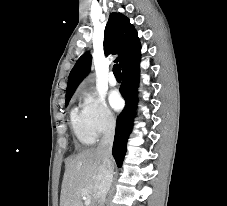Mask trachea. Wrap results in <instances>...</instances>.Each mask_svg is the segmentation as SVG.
Instances as JSON below:
<instances>
[{
  "label": "trachea",
  "instance_id": "3493384b",
  "mask_svg": "<svg viewBox=\"0 0 227 206\" xmlns=\"http://www.w3.org/2000/svg\"><path fill=\"white\" fill-rule=\"evenodd\" d=\"M113 73L116 78H121V67L119 64H115L113 66Z\"/></svg>",
  "mask_w": 227,
  "mask_h": 206
}]
</instances>
